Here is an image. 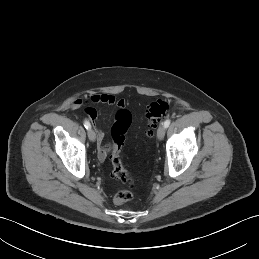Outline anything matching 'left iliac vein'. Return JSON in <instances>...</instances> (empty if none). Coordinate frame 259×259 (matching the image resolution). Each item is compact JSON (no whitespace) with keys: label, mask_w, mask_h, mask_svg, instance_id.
Here are the masks:
<instances>
[{"label":"left iliac vein","mask_w":259,"mask_h":259,"mask_svg":"<svg viewBox=\"0 0 259 259\" xmlns=\"http://www.w3.org/2000/svg\"><path fill=\"white\" fill-rule=\"evenodd\" d=\"M166 128L164 125H160L157 131V137L159 140H162L165 136Z\"/></svg>","instance_id":"left-iliac-vein-1"}]
</instances>
